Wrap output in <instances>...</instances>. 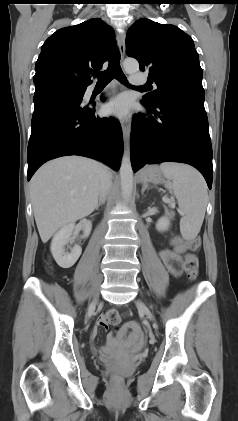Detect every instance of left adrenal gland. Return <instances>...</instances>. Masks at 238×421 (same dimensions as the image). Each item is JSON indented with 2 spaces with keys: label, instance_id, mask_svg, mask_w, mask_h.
Returning <instances> with one entry per match:
<instances>
[{
  "label": "left adrenal gland",
  "instance_id": "a2214340",
  "mask_svg": "<svg viewBox=\"0 0 238 421\" xmlns=\"http://www.w3.org/2000/svg\"><path fill=\"white\" fill-rule=\"evenodd\" d=\"M148 188V185L146 183H143L142 185V190H141V194L143 195L145 190Z\"/></svg>",
  "mask_w": 238,
  "mask_h": 421
}]
</instances>
